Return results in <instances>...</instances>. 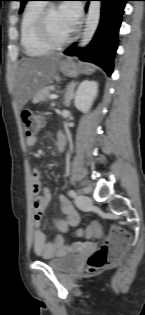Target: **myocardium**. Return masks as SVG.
<instances>
[{
    "label": "myocardium",
    "instance_id": "myocardium-1",
    "mask_svg": "<svg viewBox=\"0 0 145 315\" xmlns=\"http://www.w3.org/2000/svg\"><path fill=\"white\" fill-rule=\"evenodd\" d=\"M55 8L56 7L53 5L44 7L40 12L35 24V30L38 38L51 49L64 47L72 40L74 35V31L72 30L71 33L63 40L58 41L52 38L48 28V18L51 11Z\"/></svg>",
    "mask_w": 145,
    "mask_h": 315
}]
</instances>
